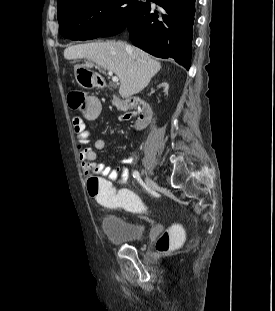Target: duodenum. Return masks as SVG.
Wrapping results in <instances>:
<instances>
[{
    "label": "duodenum",
    "mask_w": 275,
    "mask_h": 311,
    "mask_svg": "<svg viewBox=\"0 0 275 311\" xmlns=\"http://www.w3.org/2000/svg\"><path fill=\"white\" fill-rule=\"evenodd\" d=\"M95 83L100 84L103 88L109 89V85L104 82L103 77H96ZM113 100L120 108L137 110L138 117L135 124L137 129L141 130L149 124L152 111L148 103L136 98L122 99L120 97H115Z\"/></svg>",
    "instance_id": "duodenum-1"
}]
</instances>
